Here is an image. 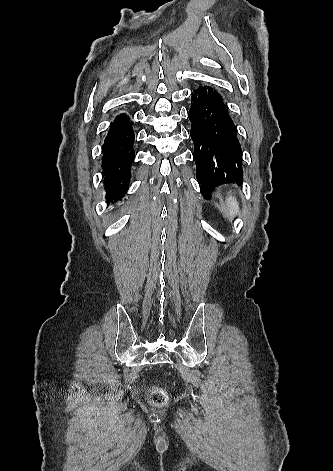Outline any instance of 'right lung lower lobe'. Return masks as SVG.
Wrapping results in <instances>:
<instances>
[{
  "instance_id": "right-lung-lower-lobe-1",
  "label": "right lung lower lobe",
  "mask_w": 333,
  "mask_h": 471,
  "mask_svg": "<svg viewBox=\"0 0 333 471\" xmlns=\"http://www.w3.org/2000/svg\"><path fill=\"white\" fill-rule=\"evenodd\" d=\"M134 138L132 122L125 114L111 123L102 149L103 177L109 200H121L128 189L135 157Z\"/></svg>"
}]
</instances>
